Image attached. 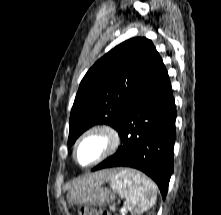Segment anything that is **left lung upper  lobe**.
<instances>
[{
    "instance_id": "obj_1",
    "label": "left lung upper lobe",
    "mask_w": 221,
    "mask_h": 215,
    "mask_svg": "<svg viewBox=\"0 0 221 215\" xmlns=\"http://www.w3.org/2000/svg\"><path fill=\"white\" fill-rule=\"evenodd\" d=\"M159 53L136 37L100 58L82 79L69 120L68 145L95 124L117 128L122 111L145 81Z\"/></svg>"
}]
</instances>
